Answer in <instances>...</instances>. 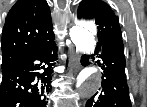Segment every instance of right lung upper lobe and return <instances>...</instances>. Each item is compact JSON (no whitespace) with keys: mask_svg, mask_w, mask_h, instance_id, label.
<instances>
[{"mask_svg":"<svg viewBox=\"0 0 147 107\" xmlns=\"http://www.w3.org/2000/svg\"><path fill=\"white\" fill-rule=\"evenodd\" d=\"M54 36L46 0H19L11 8L2 31V65L19 60Z\"/></svg>","mask_w":147,"mask_h":107,"instance_id":"obj_1","label":"right lung upper lobe"}]
</instances>
